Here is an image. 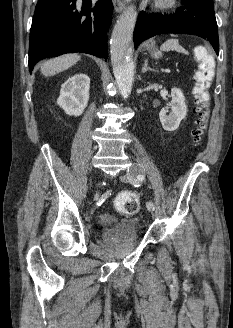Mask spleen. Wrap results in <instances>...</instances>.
<instances>
[{"label":"spleen","mask_w":233,"mask_h":328,"mask_svg":"<svg viewBox=\"0 0 233 328\" xmlns=\"http://www.w3.org/2000/svg\"><path fill=\"white\" fill-rule=\"evenodd\" d=\"M161 50L163 51H177L188 55V51L184 49L180 44L178 39H168L161 45Z\"/></svg>","instance_id":"3e777b00"}]
</instances>
